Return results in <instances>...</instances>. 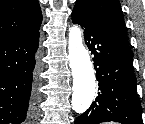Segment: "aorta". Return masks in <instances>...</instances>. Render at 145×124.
I'll use <instances>...</instances> for the list:
<instances>
[{
	"label": "aorta",
	"instance_id": "762f6f07",
	"mask_svg": "<svg viewBox=\"0 0 145 124\" xmlns=\"http://www.w3.org/2000/svg\"><path fill=\"white\" fill-rule=\"evenodd\" d=\"M70 68L73 76L72 109L85 112L93 102L96 92V78L88 51L83 45L82 31L72 26L68 34Z\"/></svg>",
	"mask_w": 145,
	"mask_h": 124
}]
</instances>
